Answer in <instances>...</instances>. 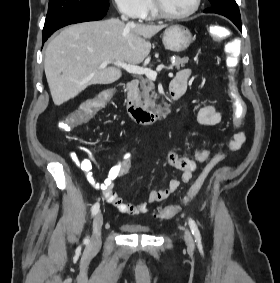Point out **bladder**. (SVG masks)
<instances>
[{
	"instance_id": "bladder-1",
	"label": "bladder",
	"mask_w": 280,
	"mask_h": 283,
	"mask_svg": "<svg viewBox=\"0 0 280 283\" xmlns=\"http://www.w3.org/2000/svg\"><path fill=\"white\" fill-rule=\"evenodd\" d=\"M121 229L130 234H150L151 228L149 226L139 225V224H130L124 223L121 224Z\"/></svg>"
}]
</instances>
